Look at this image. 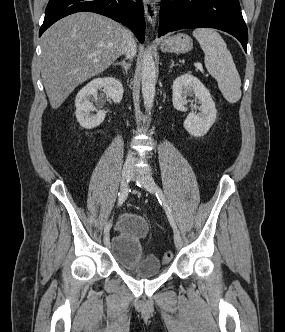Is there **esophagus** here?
I'll return each mask as SVG.
<instances>
[{
	"mask_svg": "<svg viewBox=\"0 0 285 332\" xmlns=\"http://www.w3.org/2000/svg\"><path fill=\"white\" fill-rule=\"evenodd\" d=\"M144 11L148 22L152 27L156 24L157 8L152 0H143Z\"/></svg>",
	"mask_w": 285,
	"mask_h": 332,
	"instance_id": "34e87169",
	"label": "esophagus"
}]
</instances>
